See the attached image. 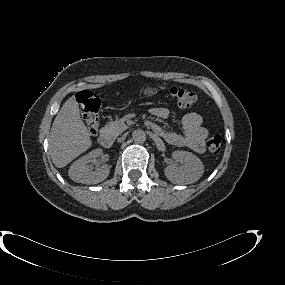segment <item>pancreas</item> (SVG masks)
<instances>
[{"mask_svg": "<svg viewBox=\"0 0 285 285\" xmlns=\"http://www.w3.org/2000/svg\"><path fill=\"white\" fill-rule=\"evenodd\" d=\"M127 128L123 119H117L115 121L110 122L103 129L105 132L109 133L112 136H118L122 131Z\"/></svg>", "mask_w": 285, "mask_h": 285, "instance_id": "cf45deb5", "label": "pancreas"}]
</instances>
